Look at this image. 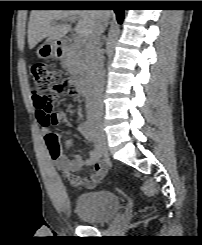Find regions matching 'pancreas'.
Masks as SVG:
<instances>
[{"instance_id":"cf45deb5","label":"pancreas","mask_w":202,"mask_h":245,"mask_svg":"<svg viewBox=\"0 0 202 245\" xmlns=\"http://www.w3.org/2000/svg\"><path fill=\"white\" fill-rule=\"evenodd\" d=\"M62 66L73 76H79L85 71L82 45L70 44L62 58Z\"/></svg>"}]
</instances>
